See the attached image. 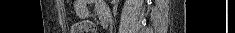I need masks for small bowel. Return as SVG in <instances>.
Returning a JSON list of instances; mask_svg holds the SVG:
<instances>
[{"label":"small bowel","instance_id":"1","mask_svg":"<svg viewBox=\"0 0 235 33\" xmlns=\"http://www.w3.org/2000/svg\"><path fill=\"white\" fill-rule=\"evenodd\" d=\"M88 1H84V0H79L75 3V9L77 11L78 14H83L84 12H86L88 10ZM94 7L95 10L100 18L101 15H107V9L105 4L102 1H95L94 2Z\"/></svg>","mask_w":235,"mask_h":33}]
</instances>
